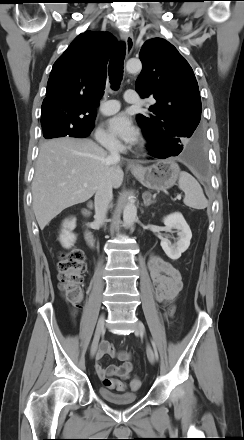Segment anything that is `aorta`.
<instances>
[{"instance_id": "obj_1", "label": "aorta", "mask_w": 244, "mask_h": 440, "mask_svg": "<svg viewBox=\"0 0 244 440\" xmlns=\"http://www.w3.org/2000/svg\"><path fill=\"white\" fill-rule=\"evenodd\" d=\"M142 69V64L139 60L131 59L126 64V70L130 73L140 72ZM137 216V207L134 202L130 201L126 204L123 210V221L126 226H131Z\"/></svg>"}]
</instances>
